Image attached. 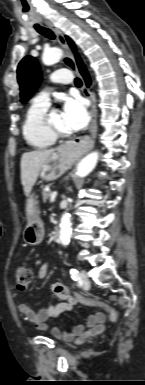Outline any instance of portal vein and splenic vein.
<instances>
[{
  "label": "portal vein and splenic vein",
  "instance_id": "portal-vein-and-splenic-vein-1",
  "mask_svg": "<svg viewBox=\"0 0 145 385\" xmlns=\"http://www.w3.org/2000/svg\"><path fill=\"white\" fill-rule=\"evenodd\" d=\"M56 197H57V192L54 191V192H52V194H51V196H50V200H51V201H54V200L56 199Z\"/></svg>",
  "mask_w": 145,
  "mask_h": 385
}]
</instances>
